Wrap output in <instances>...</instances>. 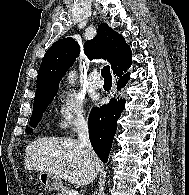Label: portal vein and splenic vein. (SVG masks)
I'll list each match as a JSON object with an SVG mask.
<instances>
[{
  "label": "portal vein and splenic vein",
  "mask_w": 189,
  "mask_h": 195,
  "mask_svg": "<svg viewBox=\"0 0 189 195\" xmlns=\"http://www.w3.org/2000/svg\"><path fill=\"white\" fill-rule=\"evenodd\" d=\"M68 195H79V193L76 190H71Z\"/></svg>",
  "instance_id": "obj_1"
}]
</instances>
